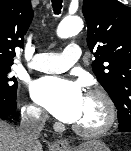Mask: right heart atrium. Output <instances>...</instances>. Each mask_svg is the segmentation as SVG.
<instances>
[{
    "label": "right heart atrium",
    "instance_id": "obj_1",
    "mask_svg": "<svg viewBox=\"0 0 131 151\" xmlns=\"http://www.w3.org/2000/svg\"><path fill=\"white\" fill-rule=\"evenodd\" d=\"M22 111L26 117L34 121H41L44 118L43 111L39 107L30 103L24 104Z\"/></svg>",
    "mask_w": 131,
    "mask_h": 151
}]
</instances>
